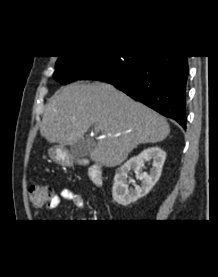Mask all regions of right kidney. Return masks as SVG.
I'll return each instance as SVG.
<instances>
[{"label": "right kidney", "mask_w": 218, "mask_h": 277, "mask_svg": "<svg viewBox=\"0 0 218 277\" xmlns=\"http://www.w3.org/2000/svg\"><path fill=\"white\" fill-rule=\"evenodd\" d=\"M165 159L166 152L159 147L147 148L138 156L130 158L116 171L112 187L113 200L118 204L128 206L147 195L159 180ZM148 160L153 161L149 174L142 171L144 162ZM132 170L136 173V178L141 180L140 186L136 185L134 180L127 181L128 174ZM129 183H133L134 189L129 188Z\"/></svg>", "instance_id": "obj_1"}]
</instances>
